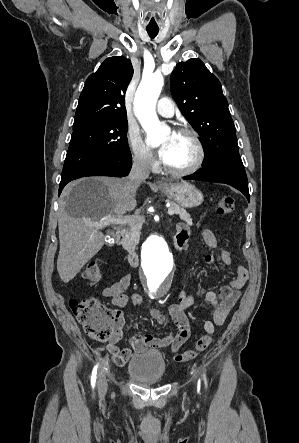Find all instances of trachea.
<instances>
[{"mask_svg":"<svg viewBox=\"0 0 299 443\" xmlns=\"http://www.w3.org/2000/svg\"><path fill=\"white\" fill-rule=\"evenodd\" d=\"M158 32L159 30H147V33L151 39H154L157 36Z\"/></svg>","mask_w":299,"mask_h":443,"instance_id":"3493384b","label":"trachea"}]
</instances>
